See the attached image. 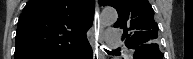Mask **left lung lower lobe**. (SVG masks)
I'll return each mask as SVG.
<instances>
[{
    "instance_id": "obj_1",
    "label": "left lung lower lobe",
    "mask_w": 193,
    "mask_h": 59,
    "mask_svg": "<svg viewBox=\"0 0 193 59\" xmlns=\"http://www.w3.org/2000/svg\"><path fill=\"white\" fill-rule=\"evenodd\" d=\"M163 54L158 47L140 46L135 50L134 59H162Z\"/></svg>"
}]
</instances>
